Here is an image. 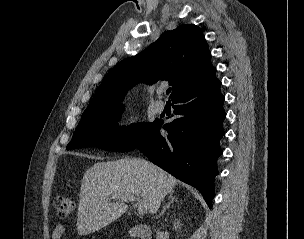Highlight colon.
<instances>
[{"label":"colon","instance_id":"colon-1","mask_svg":"<svg viewBox=\"0 0 304 239\" xmlns=\"http://www.w3.org/2000/svg\"><path fill=\"white\" fill-rule=\"evenodd\" d=\"M53 203L58 216L61 218H67L71 216L76 207L75 201L70 197H55Z\"/></svg>","mask_w":304,"mask_h":239}]
</instances>
